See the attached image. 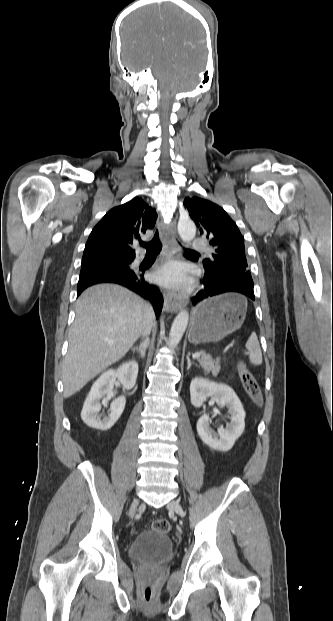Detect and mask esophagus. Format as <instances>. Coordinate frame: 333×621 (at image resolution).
<instances>
[{
	"instance_id": "esophagus-1",
	"label": "esophagus",
	"mask_w": 333,
	"mask_h": 621,
	"mask_svg": "<svg viewBox=\"0 0 333 621\" xmlns=\"http://www.w3.org/2000/svg\"><path fill=\"white\" fill-rule=\"evenodd\" d=\"M157 225L160 229L161 236L164 240V249L168 256H172L179 249L177 243V233L175 222L169 224L163 223L158 217ZM187 303L186 297L181 293L168 292L164 299V306L167 312H178Z\"/></svg>"
}]
</instances>
